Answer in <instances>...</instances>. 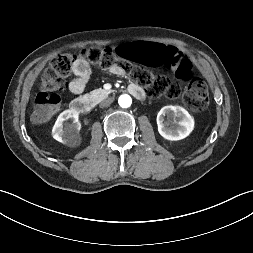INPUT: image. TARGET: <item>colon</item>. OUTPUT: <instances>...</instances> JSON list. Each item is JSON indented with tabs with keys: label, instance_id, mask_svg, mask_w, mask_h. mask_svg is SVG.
<instances>
[{
	"label": "colon",
	"instance_id": "5ec220e1",
	"mask_svg": "<svg viewBox=\"0 0 253 253\" xmlns=\"http://www.w3.org/2000/svg\"><path fill=\"white\" fill-rule=\"evenodd\" d=\"M78 58L102 67H119L131 75L146 88L153 97L165 96L175 98L181 94V85L168 77L153 73L145 68H158L169 76H177L186 81L183 91L184 104L194 111H202L209 104L208 89L205 82L192 77L191 59L178 48H170L155 40L122 43L117 49L91 47L83 49L78 55L59 54L55 56L44 70L41 77L40 92L35 98L34 120L43 123L51 118L58 109L60 92L67 83L73 65Z\"/></svg>",
	"mask_w": 253,
	"mask_h": 253
}]
</instances>
